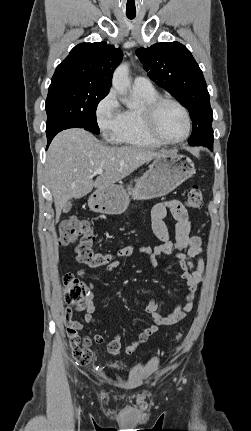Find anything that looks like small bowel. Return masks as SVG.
<instances>
[{
  "label": "small bowel",
  "instance_id": "obj_1",
  "mask_svg": "<svg viewBox=\"0 0 251 431\" xmlns=\"http://www.w3.org/2000/svg\"><path fill=\"white\" fill-rule=\"evenodd\" d=\"M170 212L176 221L175 225V238L171 239L167 225L164 218L167 212ZM152 230L155 236L161 241V244L155 247H138V251L148 255L149 262L152 267L157 266V258H163V263L166 265V259L170 256L177 258L181 273L180 277L186 282L188 286V293L184 301L177 305L174 311L169 314H162L159 312L158 304L155 300H150L145 306V311L152 317V324L140 332L136 339L128 342L123 348L126 354H132L143 343H145L150 336L158 331L161 326L172 325L184 319L187 314L192 310L195 294L199 284L204 278V261L200 257L203 251V240L199 236H192L191 224L188 217V212L184 205L178 200H169L156 204L151 211ZM136 249L134 246H127L117 251V256L126 257L130 256ZM197 258V263L194 264L193 259ZM120 261H112L106 266V271L110 272L120 267ZM78 276L83 278L85 271L78 270ZM90 291L88 292L85 303L82 307H75L76 311H84L83 320L86 324H95L99 319L95 316V295L93 293L94 284H89ZM72 309H67L64 314V322L68 337L72 344V352H74V360L78 362L79 369H88L95 357L93 350H91L92 339L98 344L106 343L104 336L94 334L93 338L82 337L79 332L83 328V324L72 317ZM107 350L113 355H117L122 350L121 337L115 335L109 342H107Z\"/></svg>",
  "mask_w": 251,
  "mask_h": 431
}]
</instances>
